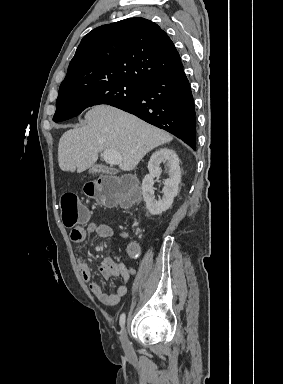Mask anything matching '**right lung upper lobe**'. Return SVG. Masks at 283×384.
I'll return each instance as SVG.
<instances>
[{"mask_svg":"<svg viewBox=\"0 0 283 384\" xmlns=\"http://www.w3.org/2000/svg\"><path fill=\"white\" fill-rule=\"evenodd\" d=\"M182 68L173 42L156 23L129 18L83 37L60 88L111 80L142 85Z\"/></svg>","mask_w":283,"mask_h":384,"instance_id":"obj_1","label":"right lung upper lobe"}]
</instances>
